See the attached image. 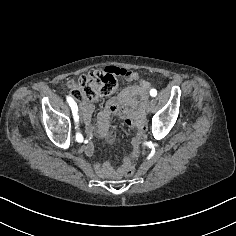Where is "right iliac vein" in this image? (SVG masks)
<instances>
[{
	"label": "right iliac vein",
	"instance_id": "63e3f726",
	"mask_svg": "<svg viewBox=\"0 0 236 236\" xmlns=\"http://www.w3.org/2000/svg\"><path fill=\"white\" fill-rule=\"evenodd\" d=\"M81 111H82V110L80 109L78 112H79V116H80V120H81V121H80V123H81L80 125L82 126V125H83V124H82V123H83V121H82V120H83V116H82V112H81Z\"/></svg>",
	"mask_w": 236,
	"mask_h": 236
}]
</instances>
